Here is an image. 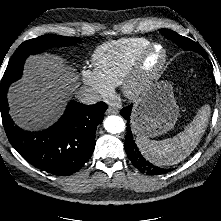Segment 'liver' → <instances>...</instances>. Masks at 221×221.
Here are the masks:
<instances>
[{"instance_id":"obj_1","label":"liver","mask_w":221,"mask_h":221,"mask_svg":"<svg viewBox=\"0 0 221 221\" xmlns=\"http://www.w3.org/2000/svg\"><path fill=\"white\" fill-rule=\"evenodd\" d=\"M77 89L76 76L60 57L31 56L25 63L23 78L8 93L11 115L24 129L45 127L58 118Z\"/></svg>"}]
</instances>
